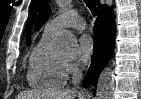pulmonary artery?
<instances>
[{"instance_id": "obj_1", "label": "pulmonary artery", "mask_w": 141, "mask_h": 99, "mask_svg": "<svg viewBox=\"0 0 141 99\" xmlns=\"http://www.w3.org/2000/svg\"><path fill=\"white\" fill-rule=\"evenodd\" d=\"M85 26L84 18L75 9H71L50 20L45 26V31L56 34L63 28L82 30Z\"/></svg>"}]
</instances>
